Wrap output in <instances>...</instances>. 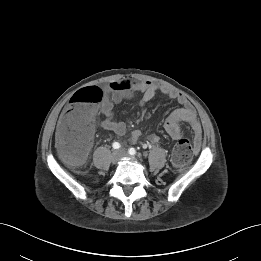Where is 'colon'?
<instances>
[{
	"mask_svg": "<svg viewBox=\"0 0 261 261\" xmlns=\"http://www.w3.org/2000/svg\"><path fill=\"white\" fill-rule=\"evenodd\" d=\"M103 96L101 87H86L77 91L69 101L70 109L60 120L58 134L60 154L70 165H82L86 159L90 148L89 121ZM193 153L191 142L184 137L178 138L171 156L173 165L184 167L191 161Z\"/></svg>",
	"mask_w": 261,
	"mask_h": 261,
	"instance_id": "1",
	"label": "colon"
}]
</instances>
